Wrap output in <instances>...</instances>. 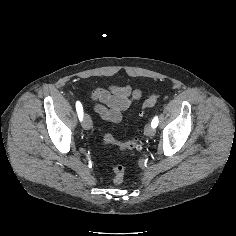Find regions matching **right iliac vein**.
I'll list each match as a JSON object with an SVG mask.
<instances>
[{
    "instance_id": "63e3f726",
    "label": "right iliac vein",
    "mask_w": 236,
    "mask_h": 236,
    "mask_svg": "<svg viewBox=\"0 0 236 236\" xmlns=\"http://www.w3.org/2000/svg\"><path fill=\"white\" fill-rule=\"evenodd\" d=\"M82 126L84 129L89 130L92 128V120L88 114H85L82 121Z\"/></svg>"
}]
</instances>
